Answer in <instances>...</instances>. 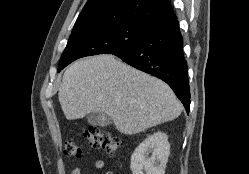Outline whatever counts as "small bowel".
<instances>
[{
	"label": "small bowel",
	"instance_id": "c3829d8e",
	"mask_svg": "<svg viewBox=\"0 0 249 174\" xmlns=\"http://www.w3.org/2000/svg\"><path fill=\"white\" fill-rule=\"evenodd\" d=\"M94 167L98 170H102L106 167V162L104 160H97L94 163ZM71 174H82V168L81 166H76L72 169ZM105 174H114V172L107 171Z\"/></svg>",
	"mask_w": 249,
	"mask_h": 174
}]
</instances>
